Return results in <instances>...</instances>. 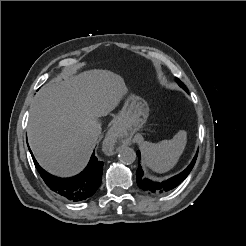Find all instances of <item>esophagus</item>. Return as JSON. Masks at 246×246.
Returning <instances> with one entry per match:
<instances>
[{
    "label": "esophagus",
    "mask_w": 246,
    "mask_h": 246,
    "mask_svg": "<svg viewBox=\"0 0 246 246\" xmlns=\"http://www.w3.org/2000/svg\"><path fill=\"white\" fill-rule=\"evenodd\" d=\"M118 134H119V130L117 126L113 125L109 129L105 137V140L103 141V148L106 154L108 155L113 154L116 144L118 143Z\"/></svg>",
    "instance_id": "esophagus-1"
}]
</instances>
